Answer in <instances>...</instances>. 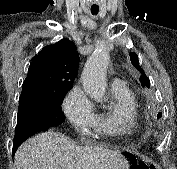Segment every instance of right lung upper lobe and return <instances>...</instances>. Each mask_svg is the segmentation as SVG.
Listing matches in <instances>:
<instances>
[{
	"label": "right lung upper lobe",
	"instance_id": "right-lung-upper-lobe-1",
	"mask_svg": "<svg viewBox=\"0 0 177 169\" xmlns=\"http://www.w3.org/2000/svg\"><path fill=\"white\" fill-rule=\"evenodd\" d=\"M79 55L68 39L44 47L29 66L20 99L51 100L67 93L78 73Z\"/></svg>",
	"mask_w": 177,
	"mask_h": 169
}]
</instances>
